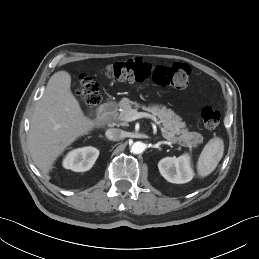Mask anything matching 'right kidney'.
<instances>
[{
    "instance_id": "obj_1",
    "label": "right kidney",
    "mask_w": 259,
    "mask_h": 259,
    "mask_svg": "<svg viewBox=\"0 0 259 259\" xmlns=\"http://www.w3.org/2000/svg\"><path fill=\"white\" fill-rule=\"evenodd\" d=\"M99 156V150L88 146L69 152L63 160V167L75 172H84L94 165Z\"/></svg>"
}]
</instances>
